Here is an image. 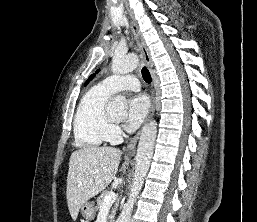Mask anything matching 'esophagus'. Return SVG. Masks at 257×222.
<instances>
[{
    "label": "esophagus",
    "mask_w": 257,
    "mask_h": 222,
    "mask_svg": "<svg viewBox=\"0 0 257 222\" xmlns=\"http://www.w3.org/2000/svg\"><path fill=\"white\" fill-rule=\"evenodd\" d=\"M132 30H133L135 39L137 41V44L142 52L144 62L146 64V66L150 69V71L152 72L153 63L151 60V55H150L149 49L143 39V36H142L140 30L138 29V27L135 23H132ZM155 108H156V93H155V88H154V76H153L152 102H151V108L148 113L146 122L149 121L153 117ZM140 133H141V131H138L137 134L130 140V142L127 146V149H126L127 155L134 154Z\"/></svg>",
    "instance_id": "obj_1"
}]
</instances>
